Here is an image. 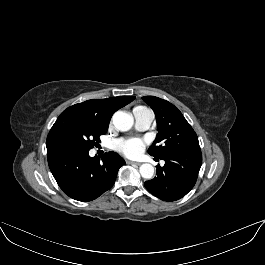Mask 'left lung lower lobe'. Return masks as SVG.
Segmentation results:
<instances>
[{"label":"left lung lower lobe","mask_w":265,"mask_h":265,"mask_svg":"<svg viewBox=\"0 0 265 265\" xmlns=\"http://www.w3.org/2000/svg\"><path fill=\"white\" fill-rule=\"evenodd\" d=\"M163 167L157 166V176L144 183L146 189L164 201L184 197L195 185L202 164L200 148L174 151L162 158Z\"/></svg>","instance_id":"1"}]
</instances>
